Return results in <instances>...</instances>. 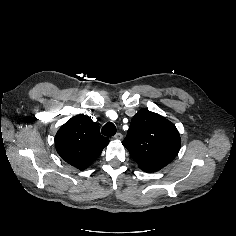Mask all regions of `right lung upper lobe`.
<instances>
[{
    "instance_id": "right-lung-upper-lobe-1",
    "label": "right lung upper lobe",
    "mask_w": 236,
    "mask_h": 236,
    "mask_svg": "<svg viewBox=\"0 0 236 236\" xmlns=\"http://www.w3.org/2000/svg\"><path fill=\"white\" fill-rule=\"evenodd\" d=\"M109 143L100 134L99 125L85 115L68 120L55 136V147L60 157L70 165L86 169Z\"/></svg>"
}]
</instances>
